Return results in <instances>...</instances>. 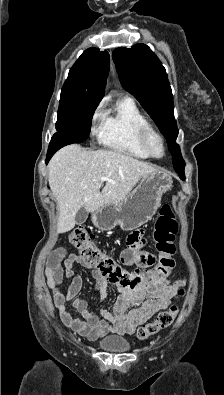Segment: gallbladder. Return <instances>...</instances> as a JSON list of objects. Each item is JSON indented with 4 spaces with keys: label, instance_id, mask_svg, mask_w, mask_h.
I'll return each instance as SVG.
<instances>
[{
    "label": "gallbladder",
    "instance_id": "obj_1",
    "mask_svg": "<svg viewBox=\"0 0 224 395\" xmlns=\"http://www.w3.org/2000/svg\"><path fill=\"white\" fill-rule=\"evenodd\" d=\"M87 219V212L85 207H81L75 216V222L77 225H82Z\"/></svg>",
    "mask_w": 224,
    "mask_h": 395
}]
</instances>
